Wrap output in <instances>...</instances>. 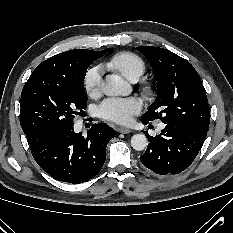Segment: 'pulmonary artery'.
<instances>
[{
    "label": "pulmonary artery",
    "instance_id": "e3ab8cb5",
    "mask_svg": "<svg viewBox=\"0 0 233 233\" xmlns=\"http://www.w3.org/2000/svg\"><path fill=\"white\" fill-rule=\"evenodd\" d=\"M136 79H134L133 81H135ZM165 127V125L163 123H161L158 127V130H162Z\"/></svg>",
    "mask_w": 233,
    "mask_h": 233
}]
</instances>
